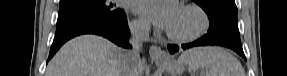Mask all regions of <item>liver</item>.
I'll return each mask as SVG.
<instances>
[{"instance_id":"obj_1","label":"liver","mask_w":287,"mask_h":76,"mask_svg":"<svg viewBox=\"0 0 287 76\" xmlns=\"http://www.w3.org/2000/svg\"><path fill=\"white\" fill-rule=\"evenodd\" d=\"M125 50L96 35L65 43L47 66V76H121ZM142 66L139 71H142Z\"/></svg>"}]
</instances>
